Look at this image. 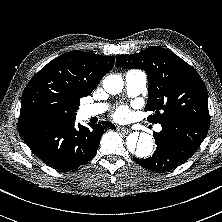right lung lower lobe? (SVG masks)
I'll return each instance as SVG.
<instances>
[{"mask_svg": "<svg viewBox=\"0 0 222 222\" xmlns=\"http://www.w3.org/2000/svg\"><path fill=\"white\" fill-rule=\"evenodd\" d=\"M115 126L108 121L85 127L75 120L41 121L19 126V134L32 152L47 165L58 170H75L97 153L101 135Z\"/></svg>", "mask_w": 222, "mask_h": 222, "instance_id": "right-lung-lower-lobe-1", "label": "right lung lower lobe"}]
</instances>
